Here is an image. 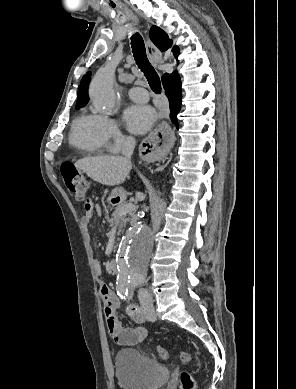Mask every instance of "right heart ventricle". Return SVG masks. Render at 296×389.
I'll return each mask as SVG.
<instances>
[{
	"instance_id": "obj_1",
	"label": "right heart ventricle",
	"mask_w": 296,
	"mask_h": 389,
	"mask_svg": "<svg viewBox=\"0 0 296 389\" xmlns=\"http://www.w3.org/2000/svg\"><path fill=\"white\" fill-rule=\"evenodd\" d=\"M105 118L98 114L82 113L73 122L70 143L88 154H102L108 149L104 128Z\"/></svg>"
}]
</instances>
